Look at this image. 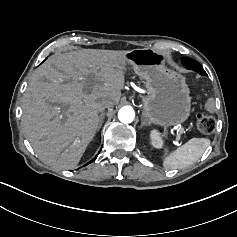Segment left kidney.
I'll use <instances>...</instances> for the list:
<instances>
[{"instance_id": "1", "label": "left kidney", "mask_w": 237, "mask_h": 237, "mask_svg": "<svg viewBox=\"0 0 237 237\" xmlns=\"http://www.w3.org/2000/svg\"><path fill=\"white\" fill-rule=\"evenodd\" d=\"M151 143L155 148H162L163 147V139L161 133L154 129L150 133Z\"/></svg>"}]
</instances>
